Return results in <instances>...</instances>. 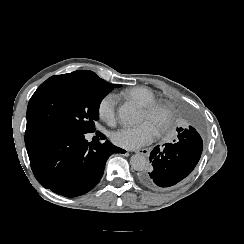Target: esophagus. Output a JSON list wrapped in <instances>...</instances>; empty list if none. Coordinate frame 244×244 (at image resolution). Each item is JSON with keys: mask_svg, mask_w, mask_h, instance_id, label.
I'll return each mask as SVG.
<instances>
[{"mask_svg": "<svg viewBox=\"0 0 244 244\" xmlns=\"http://www.w3.org/2000/svg\"><path fill=\"white\" fill-rule=\"evenodd\" d=\"M134 152L137 154H142L144 156H148L150 153V150L148 148H143V149H139V150H134Z\"/></svg>", "mask_w": 244, "mask_h": 244, "instance_id": "obj_1", "label": "esophagus"}]
</instances>
